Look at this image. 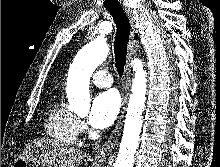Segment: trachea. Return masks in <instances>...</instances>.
Listing matches in <instances>:
<instances>
[{
    "instance_id": "trachea-1",
    "label": "trachea",
    "mask_w": 220,
    "mask_h": 167,
    "mask_svg": "<svg viewBox=\"0 0 220 167\" xmlns=\"http://www.w3.org/2000/svg\"><path fill=\"white\" fill-rule=\"evenodd\" d=\"M113 16L117 27L114 41L115 66L119 76H122L126 64L127 47L130 36V22L120 5L106 7Z\"/></svg>"
}]
</instances>
